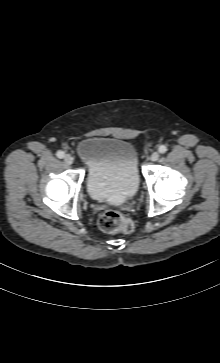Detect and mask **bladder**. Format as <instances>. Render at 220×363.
<instances>
[{
    "label": "bladder",
    "mask_w": 220,
    "mask_h": 363,
    "mask_svg": "<svg viewBox=\"0 0 220 363\" xmlns=\"http://www.w3.org/2000/svg\"><path fill=\"white\" fill-rule=\"evenodd\" d=\"M76 154L87 171L86 189L92 199L120 203L137 193L139 156L131 142L114 137H90L78 143Z\"/></svg>",
    "instance_id": "obj_1"
}]
</instances>
